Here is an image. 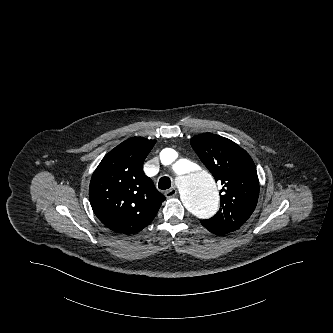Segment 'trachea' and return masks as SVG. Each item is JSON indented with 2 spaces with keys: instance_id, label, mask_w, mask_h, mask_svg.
Masks as SVG:
<instances>
[{
  "instance_id": "3493384b",
  "label": "trachea",
  "mask_w": 333,
  "mask_h": 333,
  "mask_svg": "<svg viewBox=\"0 0 333 333\" xmlns=\"http://www.w3.org/2000/svg\"><path fill=\"white\" fill-rule=\"evenodd\" d=\"M158 187L161 190H166L171 187V180L169 177H161L158 183Z\"/></svg>"
}]
</instances>
